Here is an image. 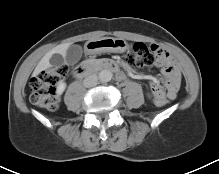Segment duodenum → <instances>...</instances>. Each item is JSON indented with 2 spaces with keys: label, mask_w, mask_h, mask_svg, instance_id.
Masks as SVG:
<instances>
[{
  "label": "duodenum",
  "mask_w": 219,
  "mask_h": 174,
  "mask_svg": "<svg viewBox=\"0 0 219 174\" xmlns=\"http://www.w3.org/2000/svg\"><path fill=\"white\" fill-rule=\"evenodd\" d=\"M110 70L117 74L120 73V68L116 62L112 60H103L99 62H92L81 65L74 70V76L78 78L86 77L95 71Z\"/></svg>",
  "instance_id": "duodenum-1"
}]
</instances>
